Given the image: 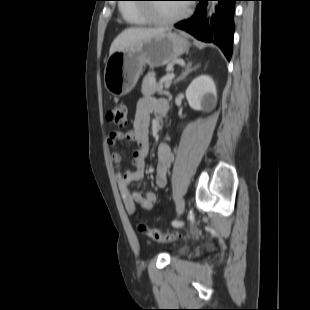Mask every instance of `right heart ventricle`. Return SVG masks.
Segmentation results:
<instances>
[{
  "instance_id": "obj_1",
  "label": "right heart ventricle",
  "mask_w": 310,
  "mask_h": 310,
  "mask_svg": "<svg viewBox=\"0 0 310 310\" xmlns=\"http://www.w3.org/2000/svg\"><path fill=\"white\" fill-rule=\"evenodd\" d=\"M120 12L123 18L134 26H141L151 22L143 9L135 5L123 4L120 7Z\"/></svg>"
}]
</instances>
